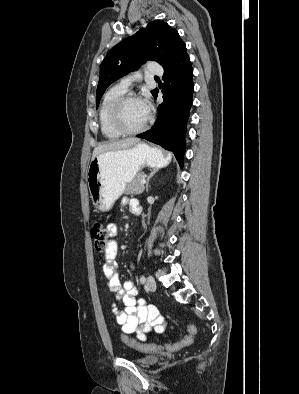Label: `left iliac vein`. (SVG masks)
Here are the masks:
<instances>
[{"instance_id": "obj_1", "label": "left iliac vein", "mask_w": 299, "mask_h": 394, "mask_svg": "<svg viewBox=\"0 0 299 394\" xmlns=\"http://www.w3.org/2000/svg\"><path fill=\"white\" fill-rule=\"evenodd\" d=\"M146 288L148 291H155L156 290V282L152 276L147 278Z\"/></svg>"}]
</instances>
